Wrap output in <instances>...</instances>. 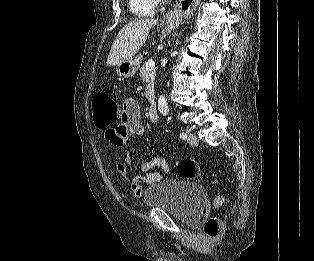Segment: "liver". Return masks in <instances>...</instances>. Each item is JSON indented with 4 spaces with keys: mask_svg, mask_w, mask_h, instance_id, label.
Masks as SVG:
<instances>
[{
    "mask_svg": "<svg viewBox=\"0 0 314 261\" xmlns=\"http://www.w3.org/2000/svg\"><path fill=\"white\" fill-rule=\"evenodd\" d=\"M156 24V19H145L123 27L112 44L107 65L115 66L133 57L145 43L149 30Z\"/></svg>",
    "mask_w": 314,
    "mask_h": 261,
    "instance_id": "liver-1",
    "label": "liver"
}]
</instances>
